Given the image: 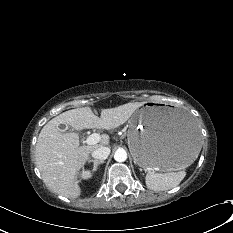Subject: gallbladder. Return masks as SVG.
<instances>
[{
    "label": "gallbladder",
    "instance_id": "gallbladder-1",
    "mask_svg": "<svg viewBox=\"0 0 233 233\" xmlns=\"http://www.w3.org/2000/svg\"><path fill=\"white\" fill-rule=\"evenodd\" d=\"M59 128H60L61 130L65 131V130L68 129V126L65 125V124H61V125H59Z\"/></svg>",
    "mask_w": 233,
    "mask_h": 233
}]
</instances>
